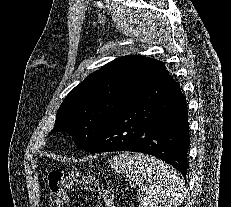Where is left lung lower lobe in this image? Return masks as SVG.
I'll return each mask as SVG.
<instances>
[{
	"instance_id": "0a47b994",
	"label": "left lung lower lobe",
	"mask_w": 231,
	"mask_h": 207,
	"mask_svg": "<svg viewBox=\"0 0 231 207\" xmlns=\"http://www.w3.org/2000/svg\"><path fill=\"white\" fill-rule=\"evenodd\" d=\"M189 138L186 98L158 61L144 88L115 114L86 151L150 154L186 178Z\"/></svg>"
}]
</instances>
